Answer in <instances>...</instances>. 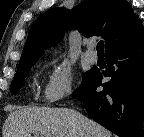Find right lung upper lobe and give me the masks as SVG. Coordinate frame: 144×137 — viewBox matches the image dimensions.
<instances>
[{
    "instance_id": "cb5924a9",
    "label": "right lung upper lobe",
    "mask_w": 144,
    "mask_h": 137,
    "mask_svg": "<svg viewBox=\"0 0 144 137\" xmlns=\"http://www.w3.org/2000/svg\"><path fill=\"white\" fill-rule=\"evenodd\" d=\"M124 0H84L72 10L51 8L32 24L19 66L38 59L43 50L58 43L66 29L84 36L101 35L106 52L144 34L140 19Z\"/></svg>"
}]
</instances>
